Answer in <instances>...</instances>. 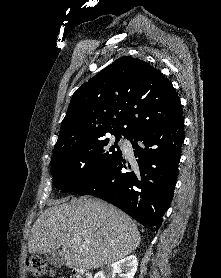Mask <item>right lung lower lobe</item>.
Listing matches in <instances>:
<instances>
[{
	"label": "right lung lower lobe",
	"instance_id": "obj_1",
	"mask_svg": "<svg viewBox=\"0 0 221 278\" xmlns=\"http://www.w3.org/2000/svg\"><path fill=\"white\" fill-rule=\"evenodd\" d=\"M127 139L136 162L130 164L121 154L74 192L106 200L142 225L159 229L173 199L184 141V116L140 129Z\"/></svg>",
	"mask_w": 221,
	"mask_h": 278
}]
</instances>
